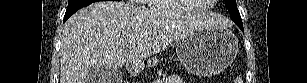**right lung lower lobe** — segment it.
Segmentation results:
<instances>
[{
  "label": "right lung lower lobe",
  "mask_w": 307,
  "mask_h": 83,
  "mask_svg": "<svg viewBox=\"0 0 307 83\" xmlns=\"http://www.w3.org/2000/svg\"><path fill=\"white\" fill-rule=\"evenodd\" d=\"M71 15L69 14V15H65L64 16V22L70 17Z\"/></svg>",
  "instance_id": "obj_1"
}]
</instances>
